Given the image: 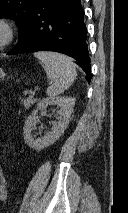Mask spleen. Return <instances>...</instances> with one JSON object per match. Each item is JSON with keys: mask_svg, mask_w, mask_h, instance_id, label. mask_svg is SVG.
Here are the masks:
<instances>
[{"mask_svg": "<svg viewBox=\"0 0 128 213\" xmlns=\"http://www.w3.org/2000/svg\"><path fill=\"white\" fill-rule=\"evenodd\" d=\"M34 56L43 63V68L50 80L47 95L56 97L68 89L74 82L77 72L70 57L54 52H35Z\"/></svg>", "mask_w": 128, "mask_h": 213, "instance_id": "obj_1", "label": "spleen"}]
</instances>
